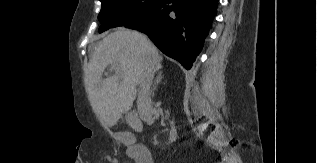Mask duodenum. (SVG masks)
Listing matches in <instances>:
<instances>
[{
    "mask_svg": "<svg viewBox=\"0 0 317 163\" xmlns=\"http://www.w3.org/2000/svg\"><path fill=\"white\" fill-rule=\"evenodd\" d=\"M125 119L129 127L134 131H141L142 130V122L140 115L136 111H128L125 114ZM133 148L134 153L139 157H144L149 154V150L147 147L139 144L131 145Z\"/></svg>",
    "mask_w": 317,
    "mask_h": 163,
    "instance_id": "duodenum-1",
    "label": "duodenum"
}]
</instances>
